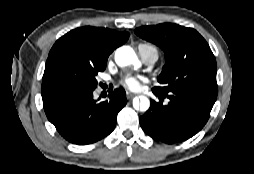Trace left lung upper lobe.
Returning <instances> with one entry per match:
<instances>
[{
  "label": "left lung upper lobe",
  "instance_id": "obj_1",
  "mask_svg": "<svg viewBox=\"0 0 254 174\" xmlns=\"http://www.w3.org/2000/svg\"><path fill=\"white\" fill-rule=\"evenodd\" d=\"M141 38L155 43L165 53V66L153 89L168 94L181 89L217 96L216 60L205 39L194 29L173 23L135 29Z\"/></svg>",
  "mask_w": 254,
  "mask_h": 174
}]
</instances>
